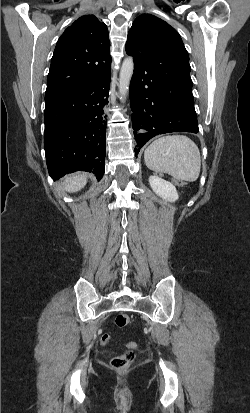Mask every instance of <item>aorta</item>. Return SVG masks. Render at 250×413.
Listing matches in <instances>:
<instances>
[{
    "label": "aorta",
    "instance_id": "obj_1",
    "mask_svg": "<svg viewBox=\"0 0 250 413\" xmlns=\"http://www.w3.org/2000/svg\"><path fill=\"white\" fill-rule=\"evenodd\" d=\"M134 62L132 57L126 58L121 66L120 77H119V93L120 99L125 101L126 95L129 90V85L131 77L133 75Z\"/></svg>",
    "mask_w": 250,
    "mask_h": 413
}]
</instances>
